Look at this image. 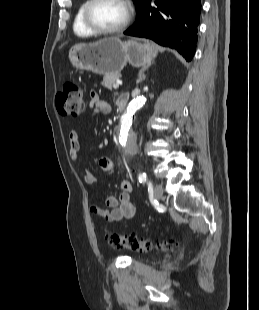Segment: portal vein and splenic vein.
Segmentation results:
<instances>
[{"instance_id":"obj_1","label":"portal vein and splenic vein","mask_w":259,"mask_h":310,"mask_svg":"<svg viewBox=\"0 0 259 310\" xmlns=\"http://www.w3.org/2000/svg\"><path fill=\"white\" fill-rule=\"evenodd\" d=\"M121 84V82H116L113 84V88L117 89L119 87V85Z\"/></svg>"}]
</instances>
